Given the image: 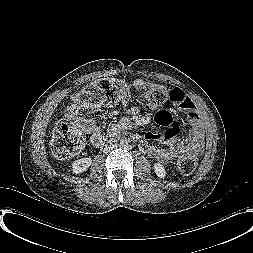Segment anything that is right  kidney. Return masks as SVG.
Listing matches in <instances>:
<instances>
[{"label":"right kidney","mask_w":253,"mask_h":253,"mask_svg":"<svg viewBox=\"0 0 253 253\" xmlns=\"http://www.w3.org/2000/svg\"><path fill=\"white\" fill-rule=\"evenodd\" d=\"M92 163L90 157H85L74 161L72 164V171L76 174L86 171Z\"/></svg>","instance_id":"obj_1"}]
</instances>
